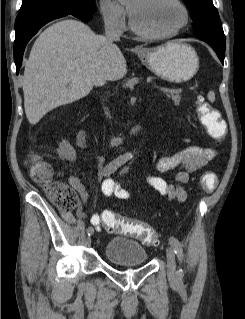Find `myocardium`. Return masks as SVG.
Segmentation results:
<instances>
[{
    "label": "myocardium",
    "instance_id": "myocardium-1",
    "mask_svg": "<svg viewBox=\"0 0 245 319\" xmlns=\"http://www.w3.org/2000/svg\"><path fill=\"white\" fill-rule=\"evenodd\" d=\"M173 1L178 5V7L181 9L183 14V20L176 29L170 32H165V33H150V32L144 31L136 25L130 12L129 25L131 30L138 36L148 40H164V39L175 37L178 34H180L189 24V20H190L189 11L186 5L182 2V0H173Z\"/></svg>",
    "mask_w": 245,
    "mask_h": 319
}]
</instances>
